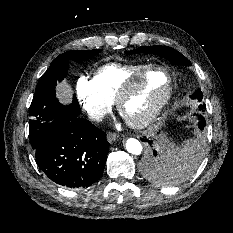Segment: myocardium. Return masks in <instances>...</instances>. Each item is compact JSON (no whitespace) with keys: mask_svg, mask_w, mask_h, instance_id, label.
<instances>
[{"mask_svg":"<svg viewBox=\"0 0 233 233\" xmlns=\"http://www.w3.org/2000/svg\"><path fill=\"white\" fill-rule=\"evenodd\" d=\"M156 72H162L165 74L167 78V83L164 91L160 95V97L157 99V101L152 105V107L145 112L143 115H141L138 118L135 119H128L124 117L123 115V106L128 97L141 85H143L148 78L156 73ZM173 91V78L169 71L161 66H150L140 74L136 75L135 77L129 79L126 81L122 87L119 89L116 98H115V106L117 111L125 118L127 124L131 126L132 128L140 129L148 126L151 124L157 116L160 114V112L163 110L165 105L168 103Z\"/></svg>","mask_w":233,"mask_h":233,"instance_id":"myocardium-1","label":"myocardium"}]
</instances>
